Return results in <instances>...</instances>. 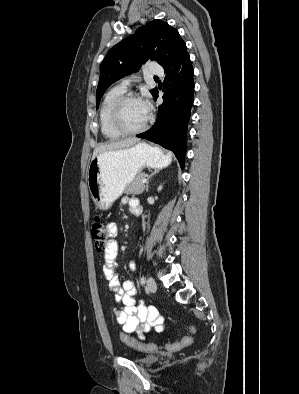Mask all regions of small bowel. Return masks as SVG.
<instances>
[{
	"mask_svg": "<svg viewBox=\"0 0 299 394\" xmlns=\"http://www.w3.org/2000/svg\"><path fill=\"white\" fill-rule=\"evenodd\" d=\"M123 205H128L134 215L141 214V206L137 199L123 197ZM110 236L109 244L103 255V274L109 288L114 292V311L117 324L127 334L136 333L144 339L146 333L152 329L158 333L163 332V318L154 305H147L143 299H137V287L132 280L121 282L116 272V258L118 245L114 238L117 235V225L114 222L107 224ZM129 267L135 269V261H130ZM121 305L118 309L117 305Z\"/></svg>",
	"mask_w": 299,
	"mask_h": 394,
	"instance_id": "small-bowel-1",
	"label": "small bowel"
}]
</instances>
